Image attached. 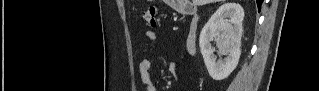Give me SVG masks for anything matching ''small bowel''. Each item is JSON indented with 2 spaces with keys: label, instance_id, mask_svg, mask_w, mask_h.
<instances>
[{
  "label": "small bowel",
  "instance_id": "1",
  "mask_svg": "<svg viewBox=\"0 0 319 91\" xmlns=\"http://www.w3.org/2000/svg\"><path fill=\"white\" fill-rule=\"evenodd\" d=\"M145 35L150 42H154L157 39V35L154 31H147ZM151 64L152 62H151V59L149 58H144L139 63V71L147 91L156 90L155 87L153 86L151 74H150ZM171 71L173 74H176L177 73L176 67H172Z\"/></svg>",
  "mask_w": 319,
  "mask_h": 91
}]
</instances>
